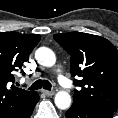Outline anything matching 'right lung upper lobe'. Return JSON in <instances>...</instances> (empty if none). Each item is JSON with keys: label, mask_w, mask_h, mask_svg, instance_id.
Returning a JSON list of instances; mask_svg holds the SVG:
<instances>
[{"label": "right lung upper lobe", "mask_w": 118, "mask_h": 118, "mask_svg": "<svg viewBox=\"0 0 118 118\" xmlns=\"http://www.w3.org/2000/svg\"><path fill=\"white\" fill-rule=\"evenodd\" d=\"M40 39L36 34L0 33V118H24L38 102L36 91H27L12 83L14 71L22 68ZM21 72L24 74L22 69Z\"/></svg>", "instance_id": "obj_1"}]
</instances>
